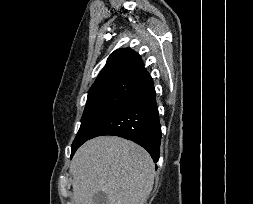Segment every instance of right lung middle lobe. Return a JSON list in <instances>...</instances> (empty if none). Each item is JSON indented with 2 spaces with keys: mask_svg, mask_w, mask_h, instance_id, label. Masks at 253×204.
Segmentation results:
<instances>
[{
  "mask_svg": "<svg viewBox=\"0 0 253 204\" xmlns=\"http://www.w3.org/2000/svg\"><path fill=\"white\" fill-rule=\"evenodd\" d=\"M138 84L122 81L89 90L81 126L71 146V157Z\"/></svg>",
  "mask_w": 253,
  "mask_h": 204,
  "instance_id": "obj_1",
  "label": "right lung middle lobe"
}]
</instances>
